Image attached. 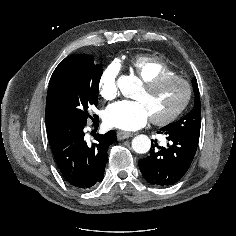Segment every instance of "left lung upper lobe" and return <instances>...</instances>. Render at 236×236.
Here are the masks:
<instances>
[{
  "label": "left lung upper lobe",
  "instance_id": "5c2ea615",
  "mask_svg": "<svg viewBox=\"0 0 236 236\" xmlns=\"http://www.w3.org/2000/svg\"><path fill=\"white\" fill-rule=\"evenodd\" d=\"M192 86L195 95L194 108L182 119L165 126L169 130L188 133L194 136H200L201 127V107L197 80L192 79Z\"/></svg>",
  "mask_w": 236,
  "mask_h": 236
}]
</instances>
